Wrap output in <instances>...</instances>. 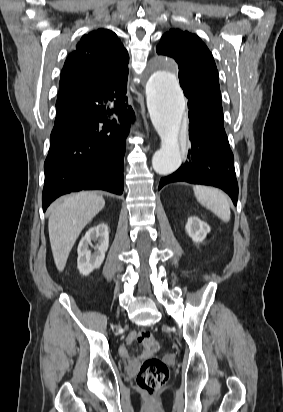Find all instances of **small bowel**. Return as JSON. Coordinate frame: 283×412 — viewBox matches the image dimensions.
Returning a JSON list of instances; mask_svg holds the SVG:
<instances>
[{
	"label": "small bowel",
	"instance_id": "1",
	"mask_svg": "<svg viewBox=\"0 0 283 412\" xmlns=\"http://www.w3.org/2000/svg\"><path fill=\"white\" fill-rule=\"evenodd\" d=\"M136 339V333L131 332L126 338V344L122 345L119 348V354L122 358L135 361L139 358L145 357L147 354L145 352H141L137 355L132 354L130 347L133 345Z\"/></svg>",
	"mask_w": 283,
	"mask_h": 412
}]
</instances>
